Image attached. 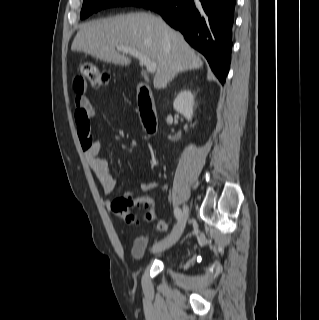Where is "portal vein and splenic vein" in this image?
<instances>
[{"instance_id": "portal-vein-and-splenic-vein-1", "label": "portal vein and splenic vein", "mask_w": 319, "mask_h": 320, "mask_svg": "<svg viewBox=\"0 0 319 320\" xmlns=\"http://www.w3.org/2000/svg\"><path fill=\"white\" fill-rule=\"evenodd\" d=\"M117 50L125 53V54H130L134 57H136L140 63L144 64L146 66V70L149 73H154L157 69V64L152 61L149 57L144 55L143 53L139 52L138 50L128 47V46H117Z\"/></svg>"}]
</instances>
